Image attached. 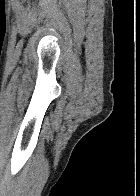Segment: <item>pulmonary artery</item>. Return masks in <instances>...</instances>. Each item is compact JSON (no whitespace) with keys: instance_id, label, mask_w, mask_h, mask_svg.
Here are the masks:
<instances>
[{"instance_id":"pulmonary-artery-1","label":"pulmonary artery","mask_w":140,"mask_h":196,"mask_svg":"<svg viewBox=\"0 0 140 196\" xmlns=\"http://www.w3.org/2000/svg\"><path fill=\"white\" fill-rule=\"evenodd\" d=\"M31 192H39V191H31Z\"/></svg>"}]
</instances>
